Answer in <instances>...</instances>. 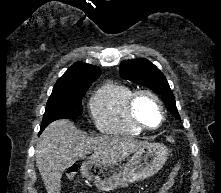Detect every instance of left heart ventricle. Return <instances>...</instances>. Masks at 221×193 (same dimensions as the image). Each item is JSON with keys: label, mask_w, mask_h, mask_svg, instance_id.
Instances as JSON below:
<instances>
[{"label": "left heart ventricle", "mask_w": 221, "mask_h": 193, "mask_svg": "<svg viewBox=\"0 0 221 193\" xmlns=\"http://www.w3.org/2000/svg\"><path fill=\"white\" fill-rule=\"evenodd\" d=\"M139 118L151 127L158 125L160 121V110L154 100L148 97L140 99L137 105Z\"/></svg>", "instance_id": "1"}]
</instances>
